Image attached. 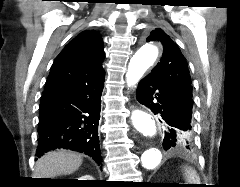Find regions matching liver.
<instances>
[{
  "label": "liver",
  "instance_id": "liver-1",
  "mask_svg": "<svg viewBox=\"0 0 240 187\" xmlns=\"http://www.w3.org/2000/svg\"><path fill=\"white\" fill-rule=\"evenodd\" d=\"M82 164V156L70 150H56L46 153L35 164L34 178H52L71 174Z\"/></svg>",
  "mask_w": 240,
  "mask_h": 187
}]
</instances>
